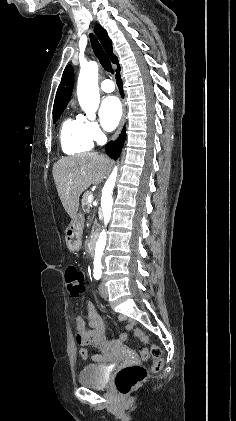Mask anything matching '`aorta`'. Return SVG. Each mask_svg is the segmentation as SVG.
I'll list each match as a JSON object with an SVG mask.
<instances>
[{"label":"aorta","mask_w":236,"mask_h":421,"mask_svg":"<svg viewBox=\"0 0 236 421\" xmlns=\"http://www.w3.org/2000/svg\"><path fill=\"white\" fill-rule=\"evenodd\" d=\"M77 94L78 100L81 108L85 110V112H91V110H96L99 102V86H98V64L91 60V62H87L84 68H81L80 74L78 76V84H77ZM117 178V166H115L111 176H109L107 182H105L102 190L101 196V206H102V213H103V221L104 225H108L111 219L112 213V192L115 186ZM107 241V233L105 229H103L102 233H100V237L97 241L96 249H95V257H94V273H101L102 265L101 259L103 255V251L105 249Z\"/></svg>","instance_id":"762f6f07"}]
</instances>
